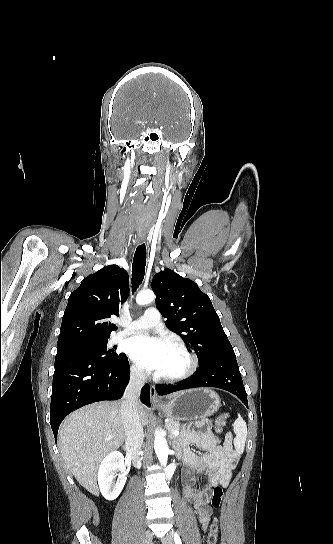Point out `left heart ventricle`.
<instances>
[{
	"mask_svg": "<svg viewBox=\"0 0 333 544\" xmlns=\"http://www.w3.org/2000/svg\"><path fill=\"white\" fill-rule=\"evenodd\" d=\"M188 365V360L186 356L177 350L176 348L170 346L167 353L164 365L158 374L160 375H174L182 372Z\"/></svg>",
	"mask_w": 333,
	"mask_h": 544,
	"instance_id": "b2bd125f",
	"label": "left heart ventricle"
}]
</instances>
